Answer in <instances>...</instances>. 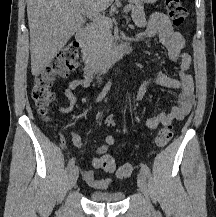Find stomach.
Instances as JSON below:
<instances>
[{"instance_id":"obj_1","label":"stomach","mask_w":216,"mask_h":217,"mask_svg":"<svg viewBox=\"0 0 216 217\" xmlns=\"http://www.w3.org/2000/svg\"><path fill=\"white\" fill-rule=\"evenodd\" d=\"M141 2L145 3V4H154L156 3L158 0H140Z\"/></svg>"}]
</instances>
